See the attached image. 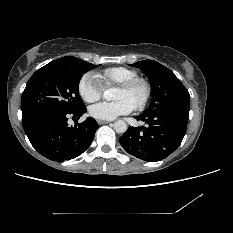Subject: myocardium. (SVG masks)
<instances>
[{"label":"myocardium","mask_w":233,"mask_h":233,"mask_svg":"<svg viewBox=\"0 0 233 233\" xmlns=\"http://www.w3.org/2000/svg\"><path fill=\"white\" fill-rule=\"evenodd\" d=\"M137 86L142 88L143 95L140 101L135 105V109L143 110L148 106L152 97V87L150 82L144 77L136 76L118 84V87L128 91L133 90Z\"/></svg>","instance_id":"myocardium-1"}]
</instances>
